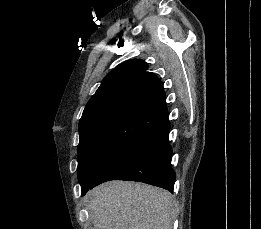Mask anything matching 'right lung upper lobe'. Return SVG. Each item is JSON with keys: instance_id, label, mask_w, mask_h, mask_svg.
Instances as JSON below:
<instances>
[{"instance_id": "cb5924a9", "label": "right lung upper lobe", "mask_w": 261, "mask_h": 229, "mask_svg": "<svg viewBox=\"0 0 261 229\" xmlns=\"http://www.w3.org/2000/svg\"><path fill=\"white\" fill-rule=\"evenodd\" d=\"M147 68L144 61L133 59L107 74L83 111L79 145L131 148L136 131L161 126L168 118L165 92Z\"/></svg>"}]
</instances>
